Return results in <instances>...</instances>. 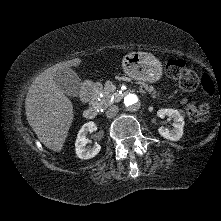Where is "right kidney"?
<instances>
[{"label":"right kidney","instance_id":"obj_1","mask_svg":"<svg viewBox=\"0 0 221 221\" xmlns=\"http://www.w3.org/2000/svg\"><path fill=\"white\" fill-rule=\"evenodd\" d=\"M95 130H97V126L92 121L85 123L79 130L75 142V150L80 159L93 158L100 152L101 146L97 143L92 148L86 147V144L90 142L87 138V134Z\"/></svg>","mask_w":221,"mask_h":221}]
</instances>
